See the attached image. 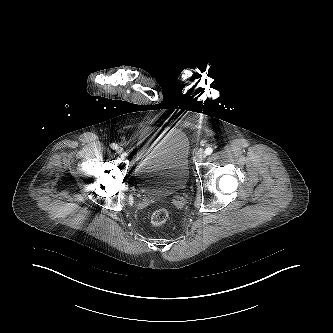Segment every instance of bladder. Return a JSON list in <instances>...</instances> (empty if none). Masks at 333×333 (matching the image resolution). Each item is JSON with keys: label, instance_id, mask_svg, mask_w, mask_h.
Segmentation results:
<instances>
[{"label": "bladder", "instance_id": "1", "mask_svg": "<svg viewBox=\"0 0 333 333\" xmlns=\"http://www.w3.org/2000/svg\"><path fill=\"white\" fill-rule=\"evenodd\" d=\"M190 141L180 128L165 133L136 163L134 182L147 195L165 197L185 188L190 174Z\"/></svg>", "mask_w": 333, "mask_h": 333}]
</instances>
